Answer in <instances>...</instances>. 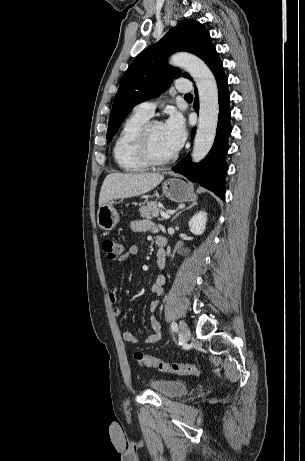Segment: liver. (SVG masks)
<instances>
[{"label": "liver", "instance_id": "1", "mask_svg": "<svg viewBox=\"0 0 305 461\" xmlns=\"http://www.w3.org/2000/svg\"><path fill=\"white\" fill-rule=\"evenodd\" d=\"M164 175L159 173H111L103 181L99 207L113 199H124L147 193L154 189Z\"/></svg>", "mask_w": 305, "mask_h": 461}]
</instances>
